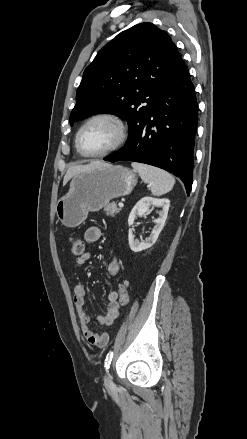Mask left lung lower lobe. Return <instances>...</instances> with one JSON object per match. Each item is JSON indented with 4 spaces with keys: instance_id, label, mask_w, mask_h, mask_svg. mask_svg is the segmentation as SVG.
Segmentation results:
<instances>
[{
    "instance_id": "left-lung-lower-lobe-1",
    "label": "left lung lower lobe",
    "mask_w": 247,
    "mask_h": 439,
    "mask_svg": "<svg viewBox=\"0 0 247 439\" xmlns=\"http://www.w3.org/2000/svg\"><path fill=\"white\" fill-rule=\"evenodd\" d=\"M196 127L197 101L186 68L160 92L151 114L125 146L104 160H129L167 170L183 181L189 195Z\"/></svg>"
}]
</instances>
